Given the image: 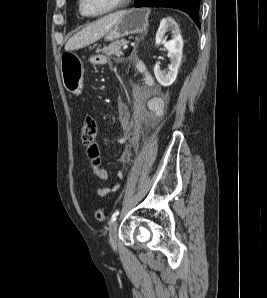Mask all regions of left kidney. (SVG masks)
<instances>
[{
  "instance_id": "5707ae66",
  "label": "left kidney",
  "mask_w": 267,
  "mask_h": 298,
  "mask_svg": "<svg viewBox=\"0 0 267 298\" xmlns=\"http://www.w3.org/2000/svg\"><path fill=\"white\" fill-rule=\"evenodd\" d=\"M167 31H171L173 39L164 40ZM164 45L168 50L170 65L168 71H161L158 64L154 66V74L157 81L164 87H168L176 80L178 69L182 59L183 39L176 21L170 17L162 19L156 33V45Z\"/></svg>"
}]
</instances>
